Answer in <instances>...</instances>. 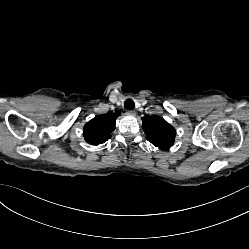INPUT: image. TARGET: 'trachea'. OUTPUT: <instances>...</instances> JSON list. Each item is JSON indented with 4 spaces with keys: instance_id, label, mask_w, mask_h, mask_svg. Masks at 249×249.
Segmentation results:
<instances>
[{
    "instance_id": "1",
    "label": "trachea",
    "mask_w": 249,
    "mask_h": 249,
    "mask_svg": "<svg viewBox=\"0 0 249 249\" xmlns=\"http://www.w3.org/2000/svg\"><path fill=\"white\" fill-rule=\"evenodd\" d=\"M135 107V103L133 100L131 99H127L125 102H124V108L127 109V110H133Z\"/></svg>"
}]
</instances>
